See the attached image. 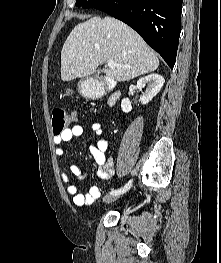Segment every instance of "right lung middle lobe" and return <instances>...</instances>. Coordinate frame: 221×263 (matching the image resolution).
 <instances>
[{"label": "right lung middle lobe", "mask_w": 221, "mask_h": 263, "mask_svg": "<svg viewBox=\"0 0 221 263\" xmlns=\"http://www.w3.org/2000/svg\"><path fill=\"white\" fill-rule=\"evenodd\" d=\"M103 0H76L77 7L95 8Z\"/></svg>", "instance_id": "right-lung-middle-lobe-1"}]
</instances>
